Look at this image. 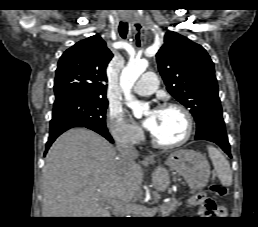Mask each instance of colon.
I'll return each instance as SVG.
<instances>
[{
    "mask_svg": "<svg viewBox=\"0 0 258 227\" xmlns=\"http://www.w3.org/2000/svg\"><path fill=\"white\" fill-rule=\"evenodd\" d=\"M210 190L212 193H214L215 195L219 196V197H224L227 194V189L220 184H212L210 186Z\"/></svg>",
    "mask_w": 258,
    "mask_h": 227,
    "instance_id": "obj_1",
    "label": "colon"
}]
</instances>
